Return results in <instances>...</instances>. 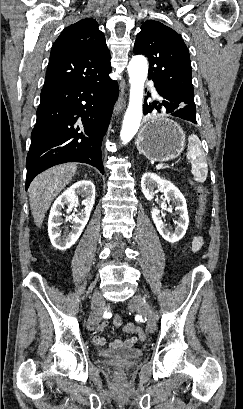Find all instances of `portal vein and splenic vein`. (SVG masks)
Returning <instances> with one entry per match:
<instances>
[{
	"label": "portal vein and splenic vein",
	"mask_w": 243,
	"mask_h": 409,
	"mask_svg": "<svg viewBox=\"0 0 243 409\" xmlns=\"http://www.w3.org/2000/svg\"><path fill=\"white\" fill-rule=\"evenodd\" d=\"M161 168H163V164H158V165L156 166V169H161Z\"/></svg>",
	"instance_id": "portal-vein-and-splenic-vein-1"
}]
</instances>
